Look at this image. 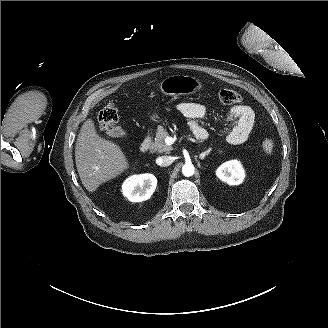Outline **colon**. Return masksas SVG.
<instances>
[{
	"label": "colon",
	"mask_w": 328,
	"mask_h": 328,
	"mask_svg": "<svg viewBox=\"0 0 328 328\" xmlns=\"http://www.w3.org/2000/svg\"><path fill=\"white\" fill-rule=\"evenodd\" d=\"M219 101L223 105H231L241 101L238 92L232 89H221L218 93ZM118 121V110L114 104H107L99 112L98 122L102 130L110 131ZM274 149V142L271 138H265L262 142V150L265 154H271Z\"/></svg>",
	"instance_id": "obj_1"
}]
</instances>
